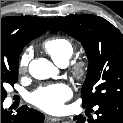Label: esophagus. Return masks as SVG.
Listing matches in <instances>:
<instances>
[{
    "label": "esophagus",
    "mask_w": 123,
    "mask_h": 123,
    "mask_svg": "<svg viewBox=\"0 0 123 123\" xmlns=\"http://www.w3.org/2000/svg\"><path fill=\"white\" fill-rule=\"evenodd\" d=\"M46 120L47 121H51V122H59V121L63 120V118H61V117H53V116H46Z\"/></svg>",
    "instance_id": "obj_1"
}]
</instances>
